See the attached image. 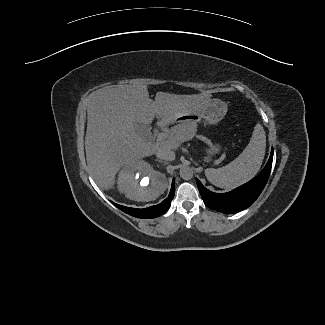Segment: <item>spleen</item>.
I'll use <instances>...</instances> for the list:
<instances>
[{"mask_svg": "<svg viewBox=\"0 0 325 325\" xmlns=\"http://www.w3.org/2000/svg\"><path fill=\"white\" fill-rule=\"evenodd\" d=\"M266 147L265 131L256 124L251 140L243 152L232 162L218 169L205 170L207 179L215 186L230 189L252 179L259 171Z\"/></svg>", "mask_w": 325, "mask_h": 325, "instance_id": "spleen-1", "label": "spleen"}]
</instances>
